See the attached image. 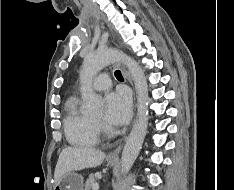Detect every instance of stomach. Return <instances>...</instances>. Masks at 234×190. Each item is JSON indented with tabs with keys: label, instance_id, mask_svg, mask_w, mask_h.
<instances>
[{
	"label": "stomach",
	"instance_id": "1",
	"mask_svg": "<svg viewBox=\"0 0 234 190\" xmlns=\"http://www.w3.org/2000/svg\"><path fill=\"white\" fill-rule=\"evenodd\" d=\"M109 165H115V161H108ZM54 190H83V177L75 172L63 175L56 183Z\"/></svg>",
	"mask_w": 234,
	"mask_h": 190
}]
</instances>
